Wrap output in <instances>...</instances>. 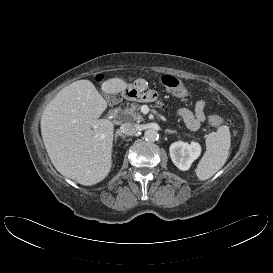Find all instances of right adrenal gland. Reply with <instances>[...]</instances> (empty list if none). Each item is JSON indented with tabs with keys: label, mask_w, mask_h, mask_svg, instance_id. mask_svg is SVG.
Returning a JSON list of instances; mask_svg holds the SVG:
<instances>
[{
	"label": "right adrenal gland",
	"mask_w": 273,
	"mask_h": 273,
	"mask_svg": "<svg viewBox=\"0 0 273 273\" xmlns=\"http://www.w3.org/2000/svg\"><path fill=\"white\" fill-rule=\"evenodd\" d=\"M119 136H120L121 138H123V139L126 138V136L123 135L120 131H117L116 134H115V139L117 140V137H119Z\"/></svg>",
	"instance_id": "right-adrenal-gland-1"
}]
</instances>
